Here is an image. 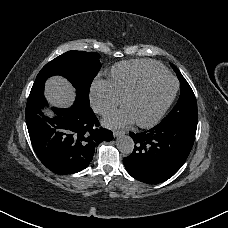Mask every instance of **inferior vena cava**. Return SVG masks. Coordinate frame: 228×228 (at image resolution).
<instances>
[{"mask_svg": "<svg viewBox=\"0 0 228 228\" xmlns=\"http://www.w3.org/2000/svg\"><path fill=\"white\" fill-rule=\"evenodd\" d=\"M92 109L95 113H103L106 110V107L102 102H98L92 106Z\"/></svg>", "mask_w": 228, "mask_h": 228, "instance_id": "obj_1", "label": "inferior vena cava"}]
</instances>
